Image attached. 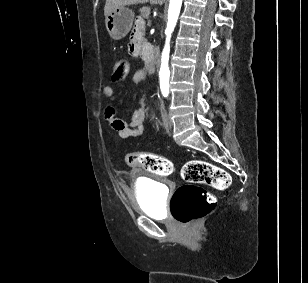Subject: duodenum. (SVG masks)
<instances>
[{
	"label": "duodenum",
	"instance_id": "obj_1",
	"mask_svg": "<svg viewBox=\"0 0 308 283\" xmlns=\"http://www.w3.org/2000/svg\"><path fill=\"white\" fill-rule=\"evenodd\" d=\"M143 62H152L156 58V48L149 41L144 43Z\"/></svg>",
	"mask_w": 308,
	"mask_h": 283
}]
</instances>
